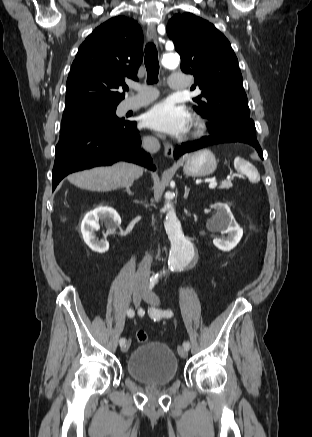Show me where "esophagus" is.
Returning a JSON list of instances; mask_svg holds the SVG:
<instances>
[{
    "label": "esophagus",
    "instance_id": "esophagus-1",
    "mask_svg": "<svg viewBox=\"0 0 312 437\" xmlns=\"http://www.w3.org/2000/svg\"><path fill=\"white\" fill-rule=\"evenodd\" d=\"M146 35L148 40L155 42L157 38L156 28L153 25H148ZM173 151V146L169 142H164V155L168 158H172Z\"/></svg>",
    "mask_w": 312,
    "mask_h": 437
}]
</instances>
